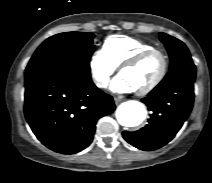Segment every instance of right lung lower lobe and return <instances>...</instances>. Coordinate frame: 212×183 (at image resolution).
Returning a JSON list of instances; mask_svg holds the SVG:
<instances>
[{
  "mask_svg": "<svg viewBox=\"0 0 212 183\" xmlns=\"http://www.w3.org/2000/svg\"><path fill=\"white\" fill-rule=\"evenodd\" d=\"M114 110L113 98L92 83L89 71L25 70V117L36 137L55 152L85 149L93 140L97 120Z\"/></svg>",
  "mask_w": 212,
  "mask_h": 183,
  "instance_id": "obj_1",
  "label": "right lung lower lobe"
}]
</instances>
